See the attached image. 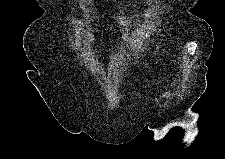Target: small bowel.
Instances as JSON below:
<instances>
[{"mask_svg": "<svg viewBox=\"0 0 225 159\" xmlns=\"http://www.w3.org/2000/svg\"><path fill=\"white\" fill-rule=\"evenodd\" d=\"M119 21H120V25L122 28L121 38H124L128 33V28H129L128 18H127V16L122 15V16H120ZM95 40H96V32H93L90 37V43H94Z\"/></svg>", "mask_w": 225, "mask_h": 159, "instance_id": "small-bowel-1", "label": "small bowel"}]
</instances>
